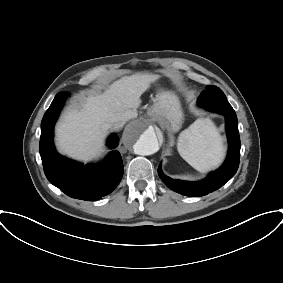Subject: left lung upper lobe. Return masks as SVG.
I'll use <instances>...</instances> for the list:
<instances>
[{
	"mask_svg": "<svg viewBox=\"0 0 283 283\" xmlns=\"http://www.w3.org/2000/svg\"><path fill=\"white\" fill-rule=\"evenodd\" d=\"M206 88L204 92L212 100H226L225 94L218 87L208 85Z\"/></svg>",
	"mask_w": 283,
	"mask_h": 283,
	"instance_id": "left-lung-upper-lobe-1",
	"label": "left lung upper lobe"
}]
</instances>
